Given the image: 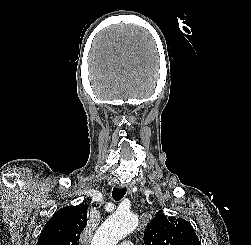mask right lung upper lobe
I'll use <instances>...</instances> for the list:
<instances>
[{"mask_svg": "<svg viewBox=\"0 0 251 245\" xmlns=\"http://www.w3.org/2000/svg\"><path fill=\"white\" fill-rule=\"evenodd\" d=\"M87 204L58 210L44 226L37 245H78L87 225Z\"/></svg>", "mask_w": 251, "mask_h": 245, "instance_id": "1", "label": "right lung upper lobe"}]
</instances>
